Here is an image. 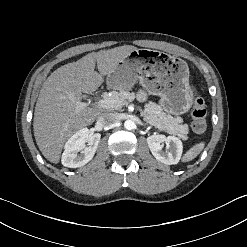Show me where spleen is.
<instances>
[{
	"label": "spleen",
	"instance_id": "3e777b00",
	"mask_svg": "<svg viewBox=\"0 0 247 247\" xmlns=\"http://www.w3.org/2000/svg\"><path fill=\"white\" fill-rule=\"evenodd\" d=\"M205 147V143L204 142H200V143H196L194 144L184 155L182 158L183 162H189L191 160H193L194 158H196L201 151L204 149Z\"/></svg>",
	"mask_w": 247,
	"mask_h": 247
}]
</instances>
